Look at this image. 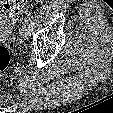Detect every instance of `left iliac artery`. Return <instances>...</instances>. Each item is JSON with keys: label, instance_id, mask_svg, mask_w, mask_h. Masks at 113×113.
<instances>
[{"label": "left iliac artery", "instance_id": "obj_1", "mask_svg": "<svg viewBox=\"0 0 113 113\" xmlns=\"http://www.w3.org/2000/svg\"><path fill=\"white\" fill-rule=\"evenodd\" d=\"M32 20H33V13H29L28 15H27V17L25 18V26H28V24L30 23V22H32ZM28 34L30 35V27H29V31H28Z\"/></svg>", "mask_w": 113, "mask_h": 113}]
</instances>
